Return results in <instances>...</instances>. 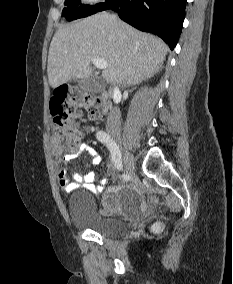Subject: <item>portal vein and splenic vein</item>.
I'll use <instances>...</instances> for the list:
<instances>
[{
    "label": "portal vein and splenic vein",
    "instance_id": "1",
    "mask_svg": "<svg viewBox=\"0 0 233 284\" xmlns=\"http://www.w3.org/2000/svg\"><path fill=\"white\" fill-rule=\"evenodd\" d=\"M92 63L97 67L98 69H106L107 68V61L102 58H92Z\"/></svg>",
    "mask_w": 233,
    "mask_h": 284
}]
</instances>
